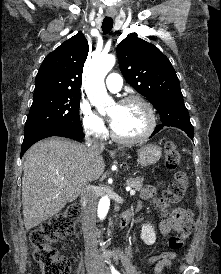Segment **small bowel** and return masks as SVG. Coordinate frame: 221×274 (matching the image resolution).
<instances>
[{"label":"small bowel","mask_w":221,"mask_h":274,"mask_svg":"<svg viewBox=\"0 0 221 274\" xmlns=\"http://www.w3.org/2000/svg\"><path fill=\"white\" fill-rule=\"evenodd\" d=\"M141 197L144 200L151 199L154 205L159 209L161 216L164 218L159 225V232L165 236L170 232H181L186 221V212L180 207H174L167 203L164 198L160 197L153 186H146ZM140 205L137 206V209ZM173 253H162L146 258L144 261L148 265H153V273L159 274L164 267H169L170 259Z\"/></svg>","instance_id":"1"}]
</instances>
